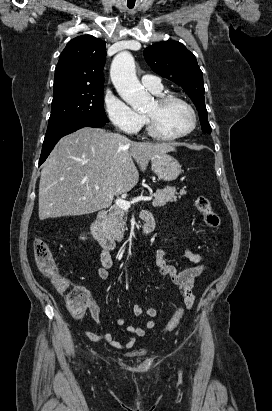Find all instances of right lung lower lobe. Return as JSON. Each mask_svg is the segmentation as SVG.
Here are the masks:
<instances>
[{
  "instance_id": "98d812e1",
  "label": "right lung lower lobe",
  "mask_w": 272,
  "mask_h": 411,
  "mask_svg": "<svg viewBox=\"0 0 272 411\" xmlns=\"http://www.w3.org/2000/svg\"><path fill=\"white\" fill-rule=\"evenodd\" d=\"M106 124V122H99V121H93V120H78L75 122H72L58 130L46 133V136L44 138L43 146H42V152L39 160V165H41L50 152L52 151L53 147L55 144L65 135L70 134L82 127H102Z\"/></svg>"
}]
</instances>
